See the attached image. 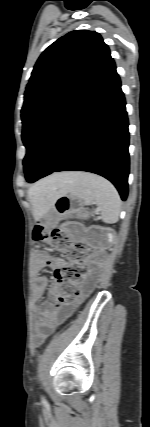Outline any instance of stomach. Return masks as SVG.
Masks as SVG:
<instances>
[{
    "instance_id": "obj_1",
    "label": "stomach",
    "mask_w": 150,
    "mask_h": 427,
    "mask_svg": "<svg viewBox=\"0 0 150 427\" xmlns=\"http://www.w3.org/2000/svg\"><path fill=\"white\" fill-rule=\"evenodd\" d=\"M82 200L72 194L59 193L52 206L54 211L61 216L80 215L83 211Z\"/></svg>"
}]
</instances>
